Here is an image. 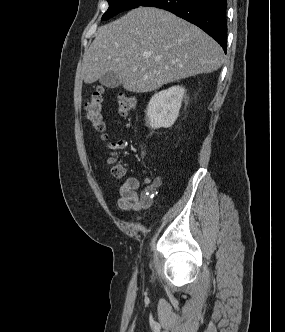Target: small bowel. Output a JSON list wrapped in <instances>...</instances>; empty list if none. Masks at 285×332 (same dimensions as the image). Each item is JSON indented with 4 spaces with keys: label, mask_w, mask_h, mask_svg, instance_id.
<instances>
[{
    "label": "small bowel",
    "mask_w": 285,
    "mask_h": 332,
    "mask_svg": "<svg viewBox=\"0 0 285 332\" xmlns=\"http://www.w3.org/2000/svg\"><path fill=\"white\" fill-rule=\"evenodd\" d=\"M145 175L141 182L136 177H127L119 186L118 207L126 211H139L150 206L152 197L158 188L162 185V177H151L148 171L143 169ZM141 192L139 193V191Z\"/></svg>",
    "instance_id": "c3829d8e"
}]
</instances>
